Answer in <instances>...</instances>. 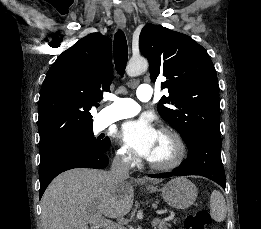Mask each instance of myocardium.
I'll return each instance as SVG.
<instances>
[{"label":"myocardium","instance_id":"myocardium-1","mask_svg":"<svg viewBox=\"0 0 261 229\" xmlns=\"http://www.w3.org/2000/svg\"><path fill=\"white\" fill-rule=\"evenodd\" d=\"M159 134L166 136L172 146L173 153L165 162H153L148 160L150 168L158 171H168L180 166L186 155V148L181 136L171 127H162Z\"/></svg>","mask_w":261,"mask_h":229}]
</instances>
